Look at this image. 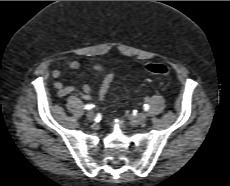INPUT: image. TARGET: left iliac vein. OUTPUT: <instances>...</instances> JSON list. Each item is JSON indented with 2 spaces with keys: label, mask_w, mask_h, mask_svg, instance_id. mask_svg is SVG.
Masks as SVG:
<instances>
[{
  "label": "left iliac vein",
  "mask_w": 230,
  "mask_h": 186,
  "mask_svg": "<svg viewBox=\"0 0 230 186\" xmlns=\"http://www.w3.org/2000/svg\"><path fill=\"white\" fill-rule=\"evenodd\" d=\"M147 120V115L146 113H140L134 117V121L137 124H143Z\"/></svg>",
  "instance_id": "4c4485c4"
}]
</instances>
